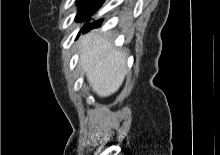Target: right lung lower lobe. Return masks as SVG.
Listing matches in <instances>:
<instances>
[{"instance_id":"right-lung-lower-lobe-1","label":"right lung lower lobe","mask_w":220,"mask_h":155,"mask_svg":"<svg viewBox=\"0 0 220 155\" xmlns=\"http://www.w3.org/2000/svg\"><path fill=\"white\" fill-rule=\"evenodd\" d=\"M101 23H102V20H101V19H100V20H97V21H95V22H93V23L87 25V26L83 29V32H85V31H87V30H89V29H91V28L100 27Z\"/></svg>"}]
</instances>
